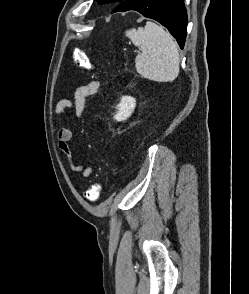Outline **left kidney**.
Wrapping results in <instances>:
<instances>
[{
    "mask_svg": "<svg viewBox=\"0 0 249 294\" xmlns=\"http://www.w3.org/2000/svg\"><path fill=\"white\" fill-rule=\"evenodd\" d=\"M136 106L135 98L131 96H123L120 103L117 105V112L114 119L118 122L124 121L131 116Z\"/></svg>",
    "mask_w": 249,
    "mask_h": 294,
    "instance_id": "left-kidney-1",
    "label": "left kidney"
}]
</instances>
